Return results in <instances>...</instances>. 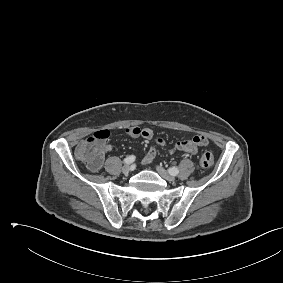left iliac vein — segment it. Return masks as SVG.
Wrapping results in <instances>:
<instances>
[{"mask_svg": "<svg viewBox=\"0 0 283 283\" xmlns=\"http://www.w3.org/2000/svg\"><path fill=\"white\" fill-rule=\"evenodd\" d=\"M158 173L167 181L173 182L175 180V176L170 174L168 171H166L163 167L157 166L156 167Z\"/></svg>", "mask_w": 283, "mask_h": 283, "instance_id": "1", "label": "left iliac vein"}]
</instances>
